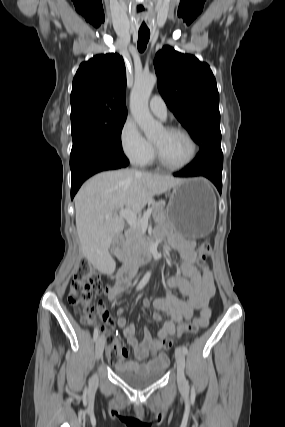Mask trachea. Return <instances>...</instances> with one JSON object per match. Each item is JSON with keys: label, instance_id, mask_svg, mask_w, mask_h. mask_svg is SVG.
Returning <instances> with one entry per match:
<instances>
[{"label": "trachea", "instance_id": "obj_1", "mask_svg": "<svg viewBox=\"0 0 285 427\" xmlns=\"http://www.w3.org/2000/svg\"><path fill=\"white\" fill-rule=\"evenodd\" d=\"M150 38V31H139L138 32V50L142 53L147 47V43Z\"/></svg>", "mask_w": 285, "mask_h": 427}]
</instances>
